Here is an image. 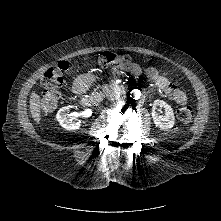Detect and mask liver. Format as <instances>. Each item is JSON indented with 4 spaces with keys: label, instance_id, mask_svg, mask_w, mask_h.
Returning a JSON list of instances; mask_svg holds the SVG:
<instances>
[{
    "label": "liver",
    "instance_id": "obj_1",
    "mask_svg": "<svg viewBox=\"0 0 221 221\" xmlns=\"http://www.w3.org/2000/svg\"><path fill=\"white\" fill-rule=\"evenodd\" d=\"M53 95L48 93L43 100H40L39 95L33 92L30 96L29 106L32 117L34 118L36 123L40 122L41 119V108L46 107L50 100H54Z\"/></svg>",
    "mask_w": 221,
    "mask_h": 221
}]
</instances>
